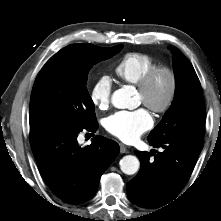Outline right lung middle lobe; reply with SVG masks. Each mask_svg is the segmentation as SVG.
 Segmentation results:
<instances>
[{
  "label": "right lung middle lobe",
  "instance_id": "right-lung-middle-lobe-1",
  "mask_svg": "<svg viewBox=\"0 0 221 221\" xmlns=\"http://www.w3.org/2000/svg\"><path fill=\"white\" fill-rule=\"evenodd\" d=\"M123 45L101 48L88 43L68 45L39 72L31 94V128L44 124L86 128L97 122L86 83L90 68L117 54Z\"/></svg>",
  "mask_w": 221,
  "mask_h": 221
}]
</instances>
